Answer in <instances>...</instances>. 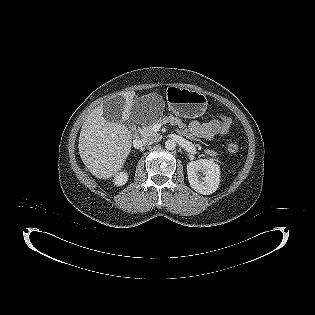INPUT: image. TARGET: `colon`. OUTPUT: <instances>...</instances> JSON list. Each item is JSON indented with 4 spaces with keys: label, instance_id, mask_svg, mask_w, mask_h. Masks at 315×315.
Segmentation results:
<instances>
[{
    "label": "colon",
    "instance_id": "1",
    "mask_svg": "<svg viewBox=\"0 0 315 315\" xmlns=\"http://www.w3.org/2000/svg\"><path fill=\"white\" fill-rule=\"evenodd\" d=\"M214 118L221 120L220 132L229 134L232 131L231 127L236 126L237 121L234 118H230L229 115L221 113V111L216 110L213 113ZM227 149L231 153H237L239 151V146L236 143H229Z\"/></svg>",
    "mask_w": 315,
    "mask_h": 315
}]
</instances>
